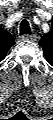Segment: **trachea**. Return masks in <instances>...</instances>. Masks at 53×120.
<instances>
[{
  "instance_id": "trachea-1",
  "label": "trachea",
  "mask_w": 53,
  "mask_h": 120,
  "mask_svg": "<svg viewBox=\"0 0 53 120\" xmlns=\"http://www.w3.org/2000/svg\"><path fill=\"white\" fill-rule=\"evenodd\" d=\"M24 34H31V29L27 20H22L20 23V35Z\"/></svg>"
}]
</instances>
